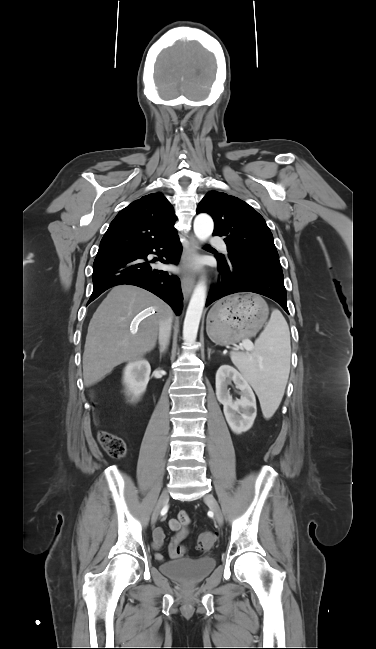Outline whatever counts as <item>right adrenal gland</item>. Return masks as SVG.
Returning a JSON list of instances; mask_svg holds the SVG:
<instances>
[{"label": "right adrenal gland", "mask_w": 376, "mask_h": 649, "mask_svg": "<svg viewBox=\"0 0 376 649\" xmlns=\"http://www.w3.org/2000/svg\"><path fill=\"white\" fill-rule=\"evenodd\" d=\"M162 355H163V352H162V351H160V359L162 358Z\"/></svg>", "instance_id": "2a0ac1e0"}]
</instances>
